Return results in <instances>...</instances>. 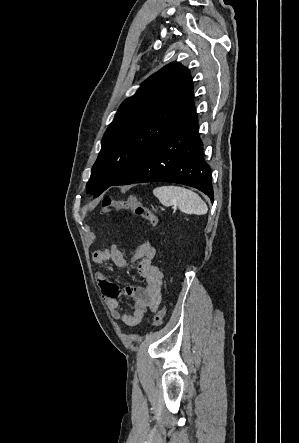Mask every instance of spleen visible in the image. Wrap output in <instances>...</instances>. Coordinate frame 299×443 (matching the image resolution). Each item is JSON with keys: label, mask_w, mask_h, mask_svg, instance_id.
<instances>
[{"label": "spleen", "mask_w": 299, "mask_h": 443, "mask_svg": "<svg viewBox=\"0 0 299 443\" xmlns=\"http://www.w3.org/2000/svg\"><path fill=\"white\" fill-rule=\"evenodd\" d=\"M153 194L162 205H177L185 214L204 215L208 211L206 203L197 193L180 186L157 187Z\"/></svg>", "instance_id": "1"}]
</instances>
